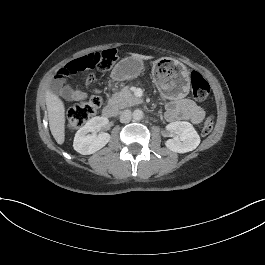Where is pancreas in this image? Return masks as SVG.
I'll list each match as a JSON object with an SVG mask.
<instances>
[{
	"label": "pancreas",
	"instance_id": "pancreas-1",
	"mask_svg": "<svg viewBox=\"0 0 265 265\" xmlns=\"http://www.w3.org/2000/svg\"><path fill=\"white\" fill-rule=\"evenodd\" d=\"M112 98L115 99V105L120 109L129 108L141 103V99L134 96L130 91V85H127L119 92L114 93Z\"/></svg>",
	"mask_w": 265,
	"mask_h": 265
}]
</instances>
